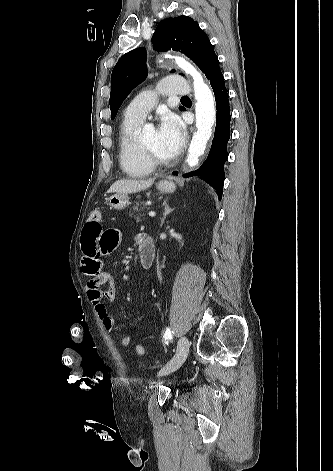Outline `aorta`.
I'll return each instance as SVG.
<instances>
[{
	"mask_svg": "<svg viewBox=\"0 0 333 471\" xmlns=\"http://www.w3.org/2000/svg\"><path fill=\"white\" fill-rule=\"evenodd\" d=\"M176 63L186 74L193 77L195 93L196 132L194 133L186 158V163L195 166L204 154L207 141L211 137L212 127L216 118L214 98L211 90L205 85L201 74L185 59L176 58Z\"/></svg>",
	"mask_w": 333,
	"mask_h": 471,
	"instance_id": "1",
	"label": "aorta"
}]
</instances>
